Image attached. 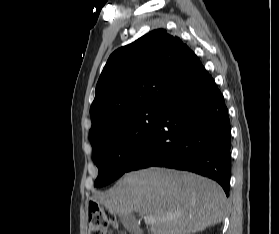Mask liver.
<instances>
[{"label": "liver", "mask_w": 279, "mask_h": 234, "mask_svg": "<svg viewBox=\"0 0 279 234\" xmlns=\"http://www.w3.org/2000/svg\"><path fill=\"white\" fill-rule=\"evenodd\" d=\"M94 201L118 215L152 216L150 234H191L220 223L227 211L223 189L199 175L162 168L127 173Z\"/></svg>", "instance_id": "1"}]
</instances>
